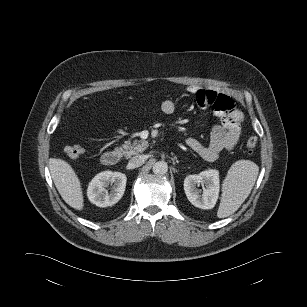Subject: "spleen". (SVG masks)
Masks as SVG:
<instances>
[{
    "label": "spleen",
    "instance_id": "obj_1",
    "mask_svg": "<svg viewBox=\"0 0 307 307\" xmlns=\"http://www.w3.org/2000/svg\"><path fill=\"white\" fill-rule=\"evenodd\" d=\"M259 173V167L250 160H238L228 170L222 184L218 218L236 212L249 196Z\"/></svg>",
    "mask_w": 307,
    "mask_h": 307
}]
</instances>
